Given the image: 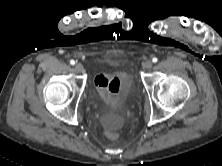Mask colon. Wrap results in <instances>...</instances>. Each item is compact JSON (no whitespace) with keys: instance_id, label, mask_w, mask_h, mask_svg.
<instances>
[{"instance_id":"1","label":"colon","mask_w":222,"mask_h":166,"mask_svg":"<svg viewBox=\"0 0 222 166\" xmlns=\"http://www.w3.org/2000/svg\"><path fill=\"white\" fill-rule=\"evenodd\" d=\"M107 136L113 140L118 138V134L114 131H107Z\"/></svg>"}]
</instances>
